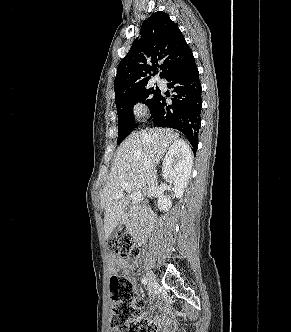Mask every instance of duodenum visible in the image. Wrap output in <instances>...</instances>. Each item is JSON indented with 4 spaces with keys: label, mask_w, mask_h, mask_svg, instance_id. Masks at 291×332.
<instances>
[{
    "label": "duodenum",
    "mask_w": 291,
    "mask_h": 332,
    "mask_svg": "<svg viewBox=\"0 0 291 332\" xmlns=\"http://www.w3.org/2000/svg\"><path fill=\"white\" fill-rule=\"evenodd\" d=\"M154 225V217L150 214L141 213V222L136 231V240L139 244H144Z\"/></svg>",
    "instance_id": "duodenum-1"
}]
</instances>
